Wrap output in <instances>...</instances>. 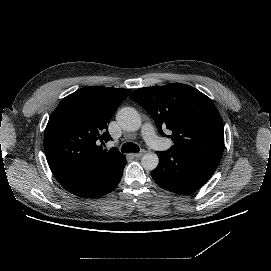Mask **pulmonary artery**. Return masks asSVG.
Returning a JSON list of instances; mask_svg holds the SVG:
<instances>
[{"label":"pulmonary artery","instance_id":"obj_1","mask_svg":"<svg viewBox=\"0 0 271 271\" xmlns=\"http://www.w3.org/2000/svg\"><path fill=\"white\" fill-rule=\"evenodd\" d=\"M142 136L148 144L151 143L152 139L155 137V133L153 127L150 124L144 125L142 129Z\"/></svg>","mask_w":271,"mask_h":271}]
</instances>
